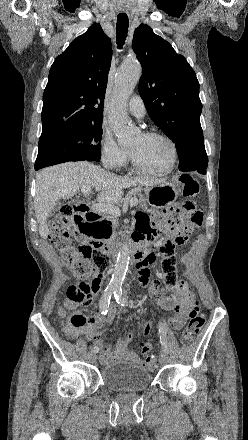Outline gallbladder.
Returning a JSON list of instances; mask_svg holds the SVG:
<instances>
[{"label":"gallbladder","instance_id":"1","mask_svg":"<svg viewBox=\"0 0 248 440\" xmlns=\"http://www.w3.org/2000/svg\"><path fill=\"white\" fill-rule=\"evenodd\" d=\"M61 207V203H56L53 207V209L51 210L50 215H53L56 211H58Z\"/></svg>","mask_w":248,"mask_h":440}]
</instances>
